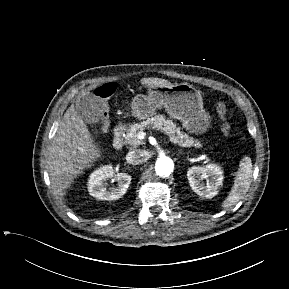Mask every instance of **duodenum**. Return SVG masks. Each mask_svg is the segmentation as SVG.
<instances>
[{
    "label": "duodenum",
    "instance_id": "obj_1",
    "mask_svg": "<svg viewBox=\"0 0 289 289\" xmlns=\"http://www.w3.org/2000/svg\"><path fill=\"white\" fill-rule=\"evenodd\" d=\"M124 132H125V126L120 124L115 127L114 129V139H113V145L116 149H121L124 144Z\"/></svg>",
    "mask_w": 289,
    "mask_h": 289
}]
</instances>
